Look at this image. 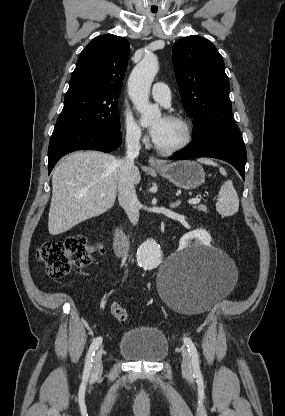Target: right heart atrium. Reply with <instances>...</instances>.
<instances>
[{"instance_id":"1","label":"right heart atrium","mask_w":285,"mask_h":416,"mask_svg":"<svg viewBox=\"0 0 285 416\" xmlns=\"http://www.w3.org/2000/svg\"><path fill=\"white\" fill-rule=\"evenodd\" d=\"M126 138L131 144H141L146 141L142 128L129 114H125Z\"/></svg>"}]
</instances>
